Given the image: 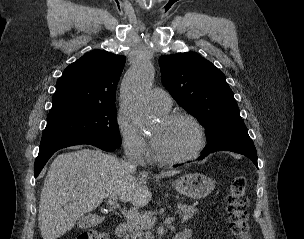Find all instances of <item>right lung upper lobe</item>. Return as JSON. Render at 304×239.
<instances>
[{
	"mask_svg": "<svg viewBox=\"0 0 304 239\" xmlns=\"http://www.w3.org/2000/svg\"><path fill=\"white\" fill-rule=\"evenodd\" d=\"M125 56L94 50L69 65L57 80L49 113L71 108L115 105Z\"/></svg>",
	"mask_w": 304,
	"mask_h": 239,
	"instance_id": "1",
	"label": "right lung upper lobe"
}]
</instances>
